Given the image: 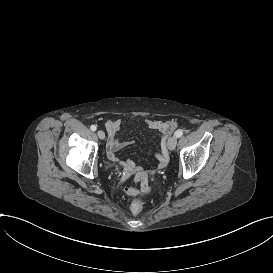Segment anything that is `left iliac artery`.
Instances as JSON below:
<instances>
[{
    "label": "left iliac artery",
    "instance_id": "left-iliac-artery-1",
    "mask_svg": "<svg viewBox=\"0 0 273 273\" xmlns=\"http://www.w3.org/2000/svg\"><path fill=\"white\" fill-rule=\"evenodd\" d=\"M182 135H183V131H182V130H177V131L175 132V136H176L177 138L181 137Z\"/></svg>",
    "mask_w": 273,
    "mask_h": 273
}]
</instances>
